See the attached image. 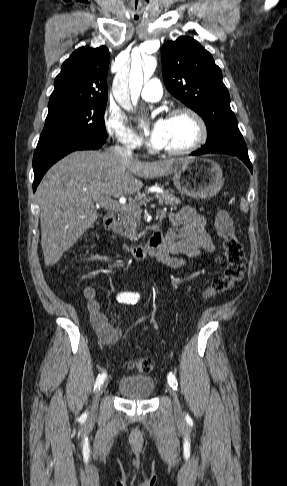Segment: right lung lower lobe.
Wrapping results in <instances>:
<instances>
[{
    "label": "right lung lower lobe",
    "instance_id": "obj_1",
    "mask_svg": "<svg viewBox=\"0 0 287 486\" xmlns=\"http://www.w3.org/2000/svg\"><path fill=\"white\" fill-rule=\"evenodd\" d=\"M105 142L67 143L52 147L36 148L33 156L34 182L33 191L36 190L45 172L59 159L76 150H94L101 148Z\"/></svg>",
    "mask_w": 287,
    "mask_h": 486
}]
</instances>
